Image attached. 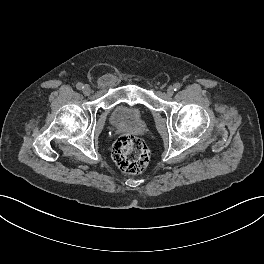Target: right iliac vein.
<instances>
[{"mask_svg": "<svg viewBox=\"0 0 264 264\" xmlns=\"http://www.w3.org/2000/svg\"><path fill=\"white\" fill-rule=\"evenodd\" d=\"M83 93H84L85 95H89V94L91 93V88H90L89 85H85V86L83 87Z\"/></svg>", "mask_w": 264, "mask_h": 264, "instance_id": "1", "label": "right iliac vein"}]
</instances>
